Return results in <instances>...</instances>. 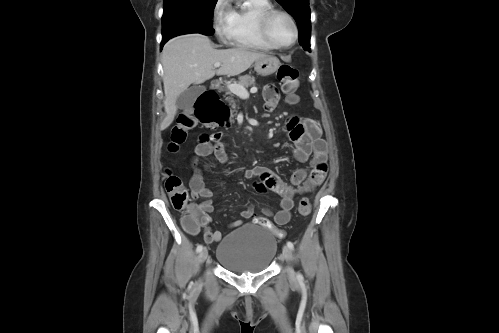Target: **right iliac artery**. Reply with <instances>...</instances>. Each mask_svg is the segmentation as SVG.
Instances as JSON below:
<instances>
[{
	"mask_svg": "<svg viewBox=\"0 0 499 333\" xmlns=\"http://www.w3.org/2000/svg\"><path fill=\"white\" fill-rule=\"evenodd\" d=\"M202 249H203V246L202 245H198L196 250H197V252H201Z\"/></svg>",
	"mask_w": 499,
	"mask_h": 333,
	"instance_id": "right-iliac-artery-1",
	"label": "right iliac artery"
}]
</instances>
